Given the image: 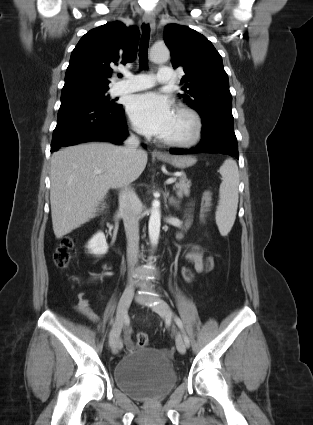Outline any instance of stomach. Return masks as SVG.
<instances>
[{
	"label": "stomach",
	"mask_w": 313,
	"mask_h": 425,
	"mask_svg": "<svg viewBox=\"0 0 313 425\" xmlns=\"http://www.w3.org/2000/svg\"><path fill=\"white\" fill-rule=\"evenodd\" d=\"M161 161L169 163L178 169H185L196 163V159L191 156H170L168 158L161 159Z\"/></svg>",
	"instance_id": "1"
}]
</instances>
